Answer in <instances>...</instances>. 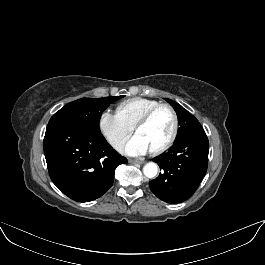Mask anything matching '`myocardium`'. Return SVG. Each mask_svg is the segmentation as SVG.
Returning <instances> with one entry per match:
<instances>
[{
    "instance_id": "myocardium-1",
    "label": "myocardium",
    "mask_w": 265,
    "mask_h": 265,
    "mask_svg": "<svg viewBox=\"0 0 265 265\" xmlns=\"http://www.w3.org/2000/svg\"><path fill=\"white\" fill-rule=\"evenodd\" d=\"M168 110L171 115H172V119H173V127L171 130V133L169 135V137L167 138V140L160 145L158 148L151 150L152 154H160L164 151H166L175 141L177 134H178V130H179V118H178V114L175 111V109L168 105V104H159L151 109H149L147 112H145L134 124L133 126V130L136 133L137 129L145 124H147L150 119L160 110Z\"/></svg>"
}]
</instances>
